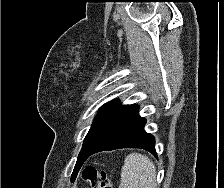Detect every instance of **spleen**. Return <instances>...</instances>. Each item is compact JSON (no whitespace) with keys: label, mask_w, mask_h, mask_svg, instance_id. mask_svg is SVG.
<instances>
[{"label":"spleen","mask_w":224,"mask_h":188,"mask_svg":"<svg viewBox=\"0 0 224 188\" xmlns=\"http://www.w3.org/2000/svg\"><path fill=\"white\" fill-rule=\"evenodd\" d=\"M156 169L145 155L131 153L125 158L119 188H156Z\"/></svg>","instance_id":"3e777b00"}]
</instances>
